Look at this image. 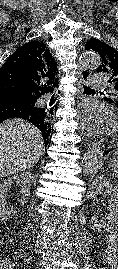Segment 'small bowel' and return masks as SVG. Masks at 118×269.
Segmentation results:
<instances>
[{
    "label": "small bowel",
    "mask_w": 118,
    "mask_h": 269,
    "mask_svg": "<svg viewBox=\"0 0 118 269\" xmlns=\"http://www.w3.org/2000/svg\"><path fill=\"white\" fill-rule=\"evenodd\" d=\"M109 244L110 246L113 248L114 251H117V245H116V239H117V235L115 233H112L109 235Z\"/></svg>",
    "instance_id": "1"
}]
</instances>
